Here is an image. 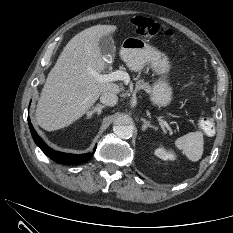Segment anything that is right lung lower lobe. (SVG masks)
<instances>
[{"mask_svg": "<svg viewBox=\"0 0 233 233\" xmlns=\"http://www.w3.org/2000/svg\"><path fill=\"white\" fill-rule=\"evenodd\" d=\"M28 123H29V127H30L32 137H33L35 143L37 144V146H39L41 148V150L49 158H51L55 162L60 163V164L74 165V164H81V163L87 162L92 157V154H90V153L81 154V155H74V154L63 153V152L52 150L37 135L36 131L34 130V128L32 126V124L30 123L29 117H28Z\"/></svg>", "mask_w": 233, "mask_h": 233, "instance_id": "98d812e1", "label": "right lung lower lobe"}]
</instances>
